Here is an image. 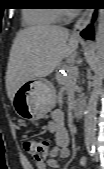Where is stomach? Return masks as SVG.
<instances>
[{"label": "stomach", "instance_id": "0dacf381", "mask_svg": "<svg viewBox=\"0 0 104 169\" xmlns=\"http://www.w3.org/2000/svg\"><path fill=\"white\" fill-rule=\"evenodd\" d=\"M56 103V89L52 82L44 78H34L25 82L12 100L16 114L29 121L43 118Z\"/></svg>", "mask_w": 104, "mask_h": 169}]
</instances>
